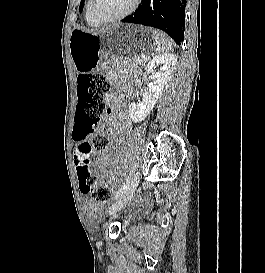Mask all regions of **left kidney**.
<instances>
[{
  "label": "left kidney",
  "instance_id": "obj_1",
  "mask_svg": "<svg viewBox=\"0 0 265 273\" xmlns=\"http://www.w3.org/2000/svg\"><path fill=\"white\" fill-rule=\"evenodd\" d=\"M176 62L177 56L171 53L158 55L148 62L145 71L151 73L150 78L153 82L142 92V102L138 104L133 102L129 106V116L134 123L141 122L149 115L167 84ZM158 65H160V71L155 72L154 69Z\"/></svg>",
  "mask_w": 265,
  "mask_h": 273
}]
</instances>
